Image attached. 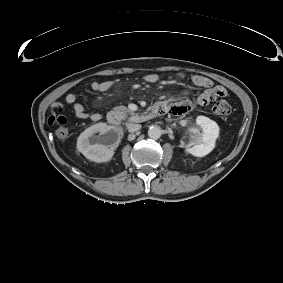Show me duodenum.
<instances>
[{"instance_id": "410a0bca", "label": "duodenum", "mask_w": 283, "mask_h": 283, "mask_svg": "<svg viewBox=\"0 0 283 283\" xmlns=\"http://www.w3.org/2000/svg\"><path fill=\"white\" fill-rule=\"evenodd\" d=\"M164 105L162 103L157 104L154 108L153 111L156 114H162L163 110H164ZM107 121L110 125L112 126H118L120 123V119L119 117L115 114V113H110L107 117Z\"/></svg>"}]
</instances>
